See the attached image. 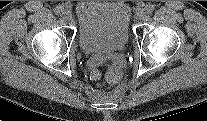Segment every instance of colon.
Here are the masks:
<instances>
[{
	"label": "colon",
	"instance_id": "obj_1",
	"mask_svg": "<svg viewBox=\"0 0 207 121\" xmlns=\"http://www.w3.org/2000/svg\"><path fill=\"white\" fill-rule=\"evenodd\" d=\"M106 80L110 83H115L119 80L120 77V70L118 66L113 65L111 66L106 72Z\"/></svg>",
	"mask_w": 207,
	"mask_h": 121
}]
</instances>
